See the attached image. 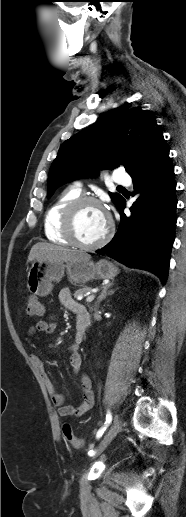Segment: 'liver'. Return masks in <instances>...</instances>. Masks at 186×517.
Masks as SVG:
<instances>
[{
	"label": "liver",
	"mask_w": 186,
	"mask_h": 517,
	"mask_svg": "<svg viewBox=\"0 0 186 517\" xmlns=\"http://www.w3.org/2000/svg\"><path fill=\"white\" fill-rule=\"evenodd\" d=\"M91 256L87 253L77 250H71L61 246L48 244V243H37L35 244L29 253L28 261L37 260L50 261V262H81L90 260Z\"/></svg>",
	"instance_id": "6515ba94"
}]
</instances>
